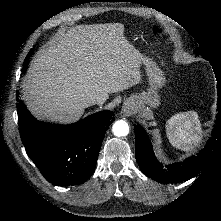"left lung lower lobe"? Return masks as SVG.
I'll use <instances>...</instances> for the list:
<instances>
[{
  "label": "left lung lower lobe",
  "instance_id": "left-lung-lower-lobe-1",
  "mask_svg": "<svg viewBox=\"0 0 221 221\" xmlns=\"http://www.w3.org/2000/svg\"><path fill=\"white\" fill-rule=\"evenodd\" d=\"M217 118L215 121L212 137L208 140L206 146L197 156H192L184 162L176 163L163 168L153 152L151 141L144 131L138 125H134L135 132V154L138 165L144 174L160 183L180 182L197 175L207 162L214 146L221 141V85L218 84V103Z\"/></svg>",
  "mask_w": 221,
  "mask_h": 221
}]
</instances>
